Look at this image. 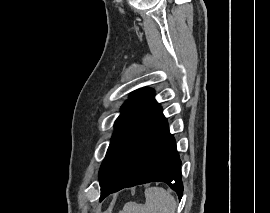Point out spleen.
<instances>
[{"label":"spleen","instance_id":"obj_1","mask_svg":"<svg viewBox=\"0 0 270 213\" xmlns=\"http://www.w3.org/2000/svg\"><path fill=\"white\" fill-rule=\"evenodd\" d=\"M145 204L127 203L122 213H175L176 200L172 194L161 187L145 190Z\"/></svg>","mask_w":270,"mask_h":213}]
</instances>
